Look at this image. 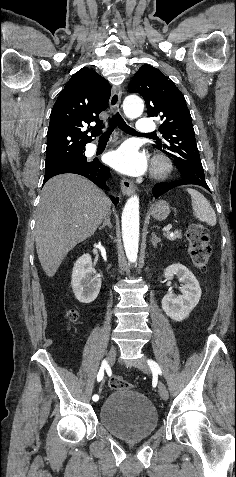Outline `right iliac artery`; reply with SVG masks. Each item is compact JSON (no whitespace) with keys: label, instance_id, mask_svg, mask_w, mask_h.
Segmentation results:
<instances>
[{"label":"right iliac artery","instance_id":"right-iliac-artery-1","mask_svg":"<svg viewBox=\"0 0 236 477\" xmlns=\"http://www.w3.org/2000/svg\"><path fill=\"white\" fill-rule=\"evenodd\" d=\"M107 368H108V364H107V362L104 360V361L102 362L101 368H100V370H99V372H98V375H97V381H98V382H100V381L103 379L104 369H107ZM92 401H93L94 403H97V402L99 401V396L95 394V395L92 397Z\"/></svg>","mask_w":236,"mask_h":477}]
</instances>
